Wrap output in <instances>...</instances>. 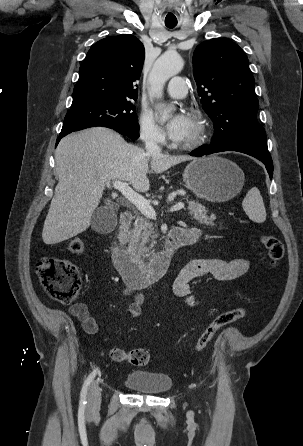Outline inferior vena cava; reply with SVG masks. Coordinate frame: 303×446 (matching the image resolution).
<instances>
[{
	"label": "inferior vena cava",
	"instance_id": "obj_1",
	"mask_svg": "<svg viewBox=\"0 0 303 446\" xmlns=\"http://www.w3.org/2000/svg\"><path fill=\"white\" fill-rule=\"evenodd\" d=\"M145 149L149 155H160L161 148L157 145L155 140H147L145 143Z\"/></svg>",
	"mask_w": 303,
	"mask_h": 446
}]
</instances>
